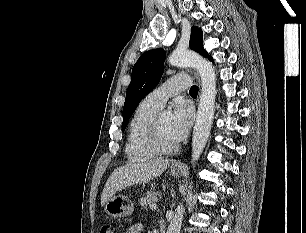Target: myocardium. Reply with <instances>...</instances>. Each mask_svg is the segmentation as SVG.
<instances>
[{
    "label": "myocardium",
    "mask_w": 306,
    "mask_h": 233,
    "mask_svg": "<svg viewBox=\"0 0 306 233\" xmlns=\"http://www.w3.org/2000/svg\"><path fill=\"white\" fill-rule=\"evenodd\" d=\"M147 141L151 149L158 155H169L175 153L179 149V145L164 146L161 142L158 132V118L155 117L148 129Z\"/></svg>",
    "instance_id": "myocardium-1"
}]
</instances>
